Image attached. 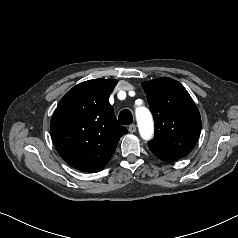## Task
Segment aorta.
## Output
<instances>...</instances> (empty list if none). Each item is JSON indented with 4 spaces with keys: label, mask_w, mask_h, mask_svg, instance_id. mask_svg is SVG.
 Wrapping results in <instances>:
<instances>
[{
    "label": "aorta",
    "mask_w": 238,
    "mask_h": 238,
    "mask_svg": "<svg viewBox=\"0 0 238 238\" xmlns=\"http://www.w3.org/2000/svg\"><path fill=\"white\" fill-rule=\"evenodd\" d=\"M140 136L149 140L154 134V124L150 111L145 107H138L135 111Z\"/></svg>",
    "instance_id": "1"
}]
</instances>
